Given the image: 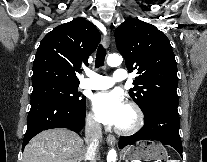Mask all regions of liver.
Segmentation results:
<instances>
[{"label": "liver", "mask_w": 207, "mask_h": 162, "mask_svg": "<svg viewBox=\"0 0 207 162\" xmlns=\"http://www.w3.org/2000/svg\"><path fill=\"white\" fill-rule=\"evenodd\" d=\"M87 145L75 132L65 128L42 131L26 145L22 162H81Z\"/></svg>", "instance_id": "1"}]
</instances>
